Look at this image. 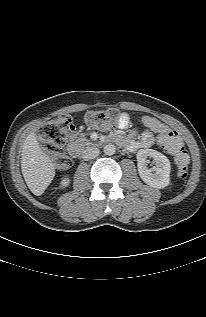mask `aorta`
<instances>
[{
    "label": "aorta",
    "mask_w": 206,
    "mask_h": 317,
    "mask_svg": "<svg viewBox=\"0 0 206 317\" xmlns=\"http://www.w3.org/2000/svg\"><path fill=\"white\" fill-rule=\"evenodd\" d=\"M103 151L106 155L111 156V155L115 154L116 147L113 144H107L104 146Z\"/></svg>",
    "instance_id": "obj_1"
}]
</instances>
